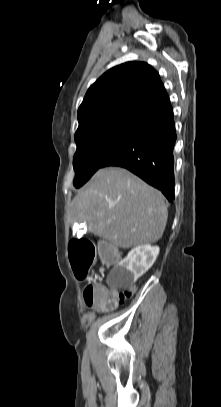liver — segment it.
Instances as JSON below:
<instances>
[{"instance_id":"obj_1","label":"liver","mask_w":221,"mask_h":407,"mask_svg":"<svg viewBox=\"0 0 221 407\" xmlns=\"http://www.w3.org/2000/svg\"><path fill=\"white\" fill-rule=\"evenodd\" d=\"M73 218L115 246L158 241L168 211L163 194L126 169L98 170L72 201Z\"/></svg>"}]
</instances>
